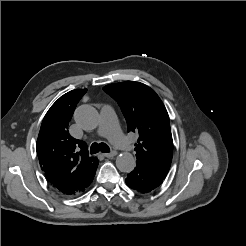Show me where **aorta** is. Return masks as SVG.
I'll return each mask as SVG.
<instances>
[{"label": "aorta", "mask_w": 246, "mask_h": 246, "mask_svg": "<svg viewBox=\"0 0 246 246\" xmlns=\"http://www.w3.org/2000/svg\"><path fill=\"white\" fill-rule=\"evenodd\" d=\"M74 118L76 123L84 130H93L98 126L99 114L90 105H83L76 109ZM136 165V160L131 153L123 152L116 157V166L121 172L129 173Z\"/></svg>", "instance_id": "762f6f07"}]
</instances>
